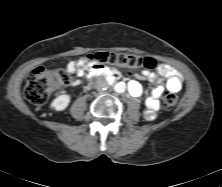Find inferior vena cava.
<instances>
[{"mask_svg": "<svg viewBox=\"0 0 222 187\" xmlns=\"http://www.w3.org/2000/svg\"><path fill=\"white\" fill-rule=\"evenodd\" d=\"M107 86H108V83H107L106 79L101 78L100 80H98L96 88L99 92H102L103 89Z\"/></svg>", "mask_w": 222, "mask_h": 187, "instance_id": "obj_1", "label": "inferior vena cava"}]
</instances>
